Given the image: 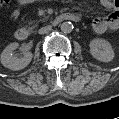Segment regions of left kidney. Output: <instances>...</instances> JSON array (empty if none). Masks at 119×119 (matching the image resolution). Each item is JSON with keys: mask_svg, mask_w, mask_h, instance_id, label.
Returning <instances> with one entry per match:
<instances>
[{"mask_svg": "<svg viewBox=\"0 0 119 119\" xmlns=\"http://www.w3.org/2000/svg\"><path fill=\"white\" fill-rule=\"evenodd\" d=\"M90 53L91 55L102 62H110L114 58V51L111 44L101 38H95L90 41Z\"/></svg>", "mask_w": 119, "mask_h": 119, "instance_id": "obj_1", "label": "left kidney"}]
</instances>
